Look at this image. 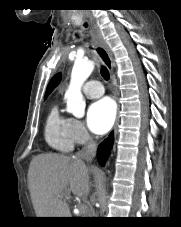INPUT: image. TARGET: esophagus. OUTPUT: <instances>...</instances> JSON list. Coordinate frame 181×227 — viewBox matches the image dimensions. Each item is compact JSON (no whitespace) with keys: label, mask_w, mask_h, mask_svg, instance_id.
Instances as JSON below:
<instances>
[{"label":"esophagus","mask_w":181,"mask_h":227,"mask_svg":"<svg viewBox=\"0 0 181 227\" xmlns=\"http://www.w3.org/2000/svg\"><path fill=\"white\" fill-rule=\"evenodd\" d=\"M92 30V37L94 43V52L100 57L101 61L107 66V68L113 70V59L112 55L102 39L101 34L94 28Z\"/></svg>","instance_id":"1"}]
</instances>
